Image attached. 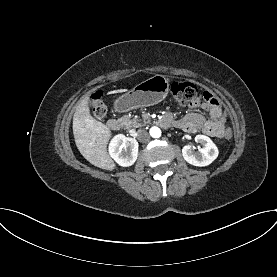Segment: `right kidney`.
Segmentation results:
<instances>
[{"label": "right kidney", "instance_id": "obj_1", "mask_svg": "<svg viewBox=\"0 0 277 277\" xmlns=\"http://www.w3.org/2000/svg\"><path fill=\"white\" fill-rule=\"evenodd\" d=\"M138 142L134 138L116 135L109 144V154L120 166L128 167L138 157Z\"/></svg>", "mask_w": 277, "mask_h": 277}]
</instances>
